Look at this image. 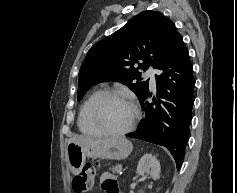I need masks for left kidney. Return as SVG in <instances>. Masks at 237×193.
<instances>
[{
	"mask_svg": "<svg viewBox=\"0 0 237 193\" xmlns=\"http://www.w3.org/2000/svg\"><path fill=\"white\" fill-rule=\"evenodd\" d=\"M160 170V162L152 154H144L137 166V173L139 175H149L153 180L160 178Z\"/></svg>",
	"mask_w": 237,
	"mask_h": 193,
	"instance_id": "left-kidney-1",
	"label": "left kidney"
}]
</instances>
